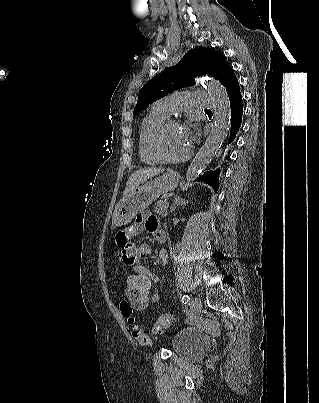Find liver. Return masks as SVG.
I'll list each match as a JSON object with an SVG mask.
<instances>
[{
    "instance_id": "6515ba94",
    "label": "liver",
    "mask_w": 319,
    "mask_h": 403,
    "mask_svg": "<svg viewBox=\"0 0 319 403\" xmlns=\"http://www.w3.org/2000/svg\"><path fill=\"white\" fill-rule=\"evenodd\" d=\"M162 168H145L135 171L128 179L126 188L123 192V198H126L137 186L160 173Z\"/></svg>"
}]
</instances>
